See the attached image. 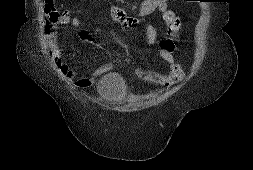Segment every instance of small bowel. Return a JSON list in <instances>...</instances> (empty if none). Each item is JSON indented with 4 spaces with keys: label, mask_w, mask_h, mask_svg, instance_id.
I'll return each instance as SVG.
<instances>
[{
    "label": "small bowel",
    "mask_w": 253,
    "mask_h": 170,
    "mask_svg": "<svg viewBox=\"0 0 253 170\" xmlns=\"http://www.w3.org/2000/svg\"><path fill=\"white\" fill-rule=\"evenodd\" d=\"M50 8L51 4L48 0H45V9L47 13H49ZM153 12H159L162 14V17L171 33L179 31L181 26L180 19L168 8V0H145L140 4L136 16H131L124 9L118 6H113L110 9V17L114 22L120 24L123 28L128 29L140 22L139 17L149 15ZM176 20L179 23V26L177 27L173 25ZM65 24H70L73 27H79L81 25V18L76 15L61 14L57 19L55 26H53L52 30L48 33L47 36L49 44L55 51L56 65L58 70L66 76L74 86L79 88H88L94 84L96 77L109 71L110 66L105 65L96 69L91 76H81L78 70L73 69L68 63H66L60 52L56 32L57 26ZM79 37L85 42H93L90 33L87 31H81L79 33ZM157 41L158 37L156 28L152 25H148L145 32V42L148 45H153ZM159 44L161 48V57L170 66L169 72L159 73L155 71L137 69L136 74L139 78L145 81L169 87L174 83L181 81L184 78L185 73L183 67L175 60L173 55L176 47L175 41L172 38L167 37L161 39Z\"/></svg>",
    "instance_id": "small-bowel-1"
}]
</instances>
